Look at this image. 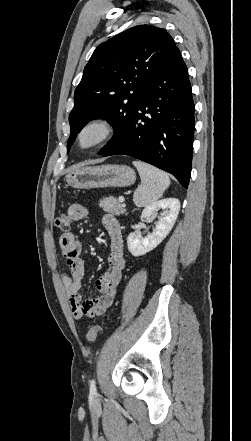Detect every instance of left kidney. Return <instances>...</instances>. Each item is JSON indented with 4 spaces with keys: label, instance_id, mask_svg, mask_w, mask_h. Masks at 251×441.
<instances>
[{
    "label": "left kidney",
    "instance_id": "1",
    "mask_svg": "<svg viewBox=\"0 0 251 441\" xmlns=\"http://www.w3.org/2000/svg\"><path fill=\"white\" fill-rule=\"evenodd\" d=\"M165 210L155 223V229L151 234L142 237L134 232L127 238L129 252L135 256H142L156 248L170 233L180 211V202L176 198H166L154 202L144 208L141 220L151 218L159 210Z\"/></svg>",
    "mask_w": 251,
    "mask_h": 441
}]
</instances>
